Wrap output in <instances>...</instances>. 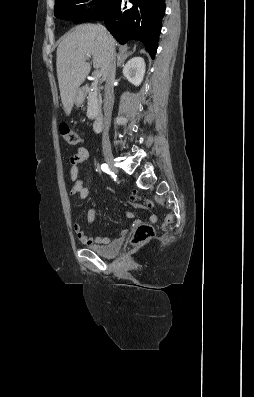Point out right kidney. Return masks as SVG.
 Here are the masks:
<instances>
[{
  "mask_svg": "<svg viewBox=\"0 0 254 397\" xmlns=\"http://www.w3.org/2000/svg\"><path fill=\"white\" fill-rule=\"evenodd\" d=\"M123 75L129 82L139 86L145 75L144 59L142 57L130 59L123 67Z\"/></svg>",
  "mask_w": 254,
  "mask_h": 397,
  "instance_id": "obj_1",
  "label": "right kidney"
}]
</instances>
